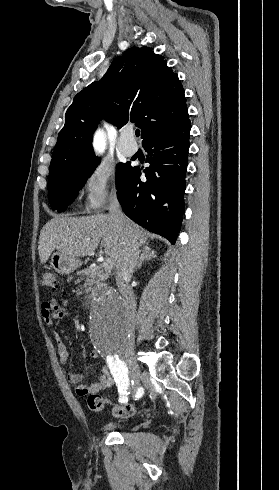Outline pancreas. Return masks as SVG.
<instances>
[{
	"mask_svg": "<svg viewBox=\"0 0 279 490\" xmlns=\"http://www.w3.org/2000/svg\"><path fill=\"white\" fill-rule=\"evenodd\" d=\"M110 270L112 268H107L106 266H96V268H86L84 272H82L85 282H87V286H91V284H102V282H105L107 280Z\"/></svg>",
	"mask_w": 279,
	"mask_h": 490,
	"instance_id": "1",
	"label": "pancreas"
}]
</instances>
